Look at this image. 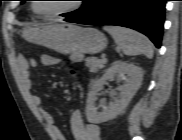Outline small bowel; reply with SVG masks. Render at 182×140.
I'll use <instances>...</instances> for the list:
<instances>
[{"mask_svg": "<svg viewBox=\"0 0 182 140\" xmlns=\"http://www.w3.org/2000/svg\"><path fill=\"white\" fill-rule=\"evenodd\" d=\"M39 62L45 66H54L60 63V60L54 56L44 54L39 58ZM17 65L21 73L24 86L32 89L33 81L31 70L37 68L38 61L33 58H26L24 55L17 57ZM33 103L37 106L41 105V98L38 95L32 96ZM40 114L47 125L50 137L53 140H65L62 132L55 124L53 115L44 108L40 109ZM70 128L75 140H101L100 129L93 123H86L83 119L82 112L78 109L74 110L70 116Z\"/></svg>", "mask_w": 182, "mask_h": 140, "instance_id": "c3829d8e", "label": "small bowel"}]
</instances>
